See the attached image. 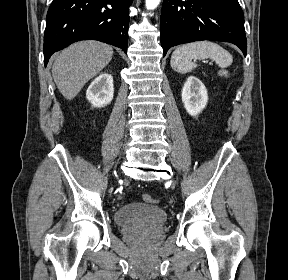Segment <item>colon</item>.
I'll return each instance as SVG.
<instances>
[{
    "label": "colon",
    "instance_id": "colon-1",
    "mask_svg": "<svg viewBox=\"0 0 288 280\" xmlns=\"http://www.w3.org/2000/svg\"><path fill=\"white\" fill-rule=\"evenodd\" d=\"M143 201L146 203H151V204H157L158 203V200L150 194H144L143 195Z\"/></svg>",
    "mask_w": 288,
    "mask_h": 280
}]
</instances>
